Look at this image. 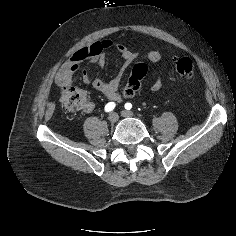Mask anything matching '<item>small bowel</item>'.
Listing matches in <instances>:
<instances>
[{
    "label": "small bowel",
    "instance_id": "c3829d8e",
    "mask_svg": "<svg viewBox=\"0 0 236 236\" xmlns=\"http://www.w3.org/2000/svg\"><path fill=\"white\" fill-rule=\"evenodd\" d=\"M112 47L116 48L123 59V64L117 75L109 82H105L98 76L91 77L88 72L84 71L82 74V80L85 84L92 86L94 89L102 93L111 102L120 101L122 97L127 98L133 96L136 91H125L123 89L121 93L120 85L127 68L136 58V53L128 46L124 44L114 45V43L108 39L93 42L92 44L76 51L60 68L56 75V83L60 86L69 85L72 82L73 75L80 69L81 64L85 61L89 62L98 69L102 68L106 62V53ZM147 57L152 63L158 65L159 74L150 86L152 91H158L162 86L160 75L163 66L162 56L158 50H150L147 53ZM94 109V103L87 102V104L83 107V112L91 113Z\"/></svg>",
    "mask_w": 236,
    "mask_h": 236
}]
</instances>
